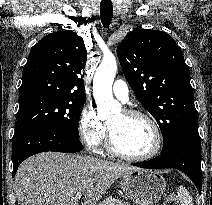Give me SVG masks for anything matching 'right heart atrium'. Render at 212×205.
<instances>
[{"label": "right heart atrium", "instance_id": "1", "mask_svg": "<svg viewBox=\"0 0 212 205\" xmlns=\"http://www.w3.org/2000/svg\"><path fill=\"white\" fill-rule=\"evenodd\" d=\"M78 133L82 143L93 151L99 150L106 139L105 128L96 112L85 107L78 121Z\"/></svg>", "mask_w": 212, "mask_h": 205}]
</instances>
